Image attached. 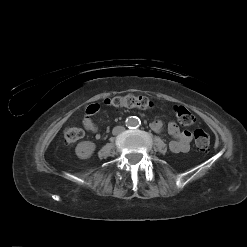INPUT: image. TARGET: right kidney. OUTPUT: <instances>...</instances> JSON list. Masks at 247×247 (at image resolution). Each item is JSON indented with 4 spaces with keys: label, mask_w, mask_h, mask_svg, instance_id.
I'll return each instance as SVG.
<instances>
[{
    "label": "right kidney",
    "mask_w": 247,
    "mask_h": 247,
    "mask_svg": "<svg viewBox=\"0 0 247 247\" xmlns=\"http://www.w3.org/2000/svg\"><path fill=\"white\" fill-rule=\"evenodd\" d=\"M96 145L91 141H83L77 144L75 153L80 159H87L92 156Z\"/></svg>",
    "instance_id": "ca27d5eb"
}]
</instances>
